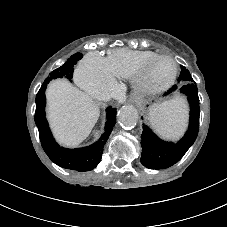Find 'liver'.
Listing matches in <instances>:
<instances>
[{
  "label": "liver",
  "mask_w": 227,
  "mask_h": 227,
  "mask_svg": "<svg viewBox=\"0 0 227 227\" xmlns=\"http://www.w3.org/2000/svg\"><path fill=\"white\" fill-rule=\"evenodd\" d=\"M47 100L48 119L57 140L64 146H78L97 122L98 105L66 81L51 83Z\"/></svg>",
  "instance_id": "obj_1"
}]
</instances>
